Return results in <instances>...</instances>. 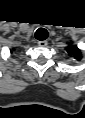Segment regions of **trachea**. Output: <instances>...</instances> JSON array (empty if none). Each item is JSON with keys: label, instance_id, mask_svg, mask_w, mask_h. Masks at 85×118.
Listing matches in <instances>:
<instances>
[{"label": "trachea", "instance_id": "trachea-1", "mask_svg": "<svg viewBox=\"0 0 85 118\" xmlns=\"http://www.w3.org/2000/svg\"><path fill=\"white\" fill-rule=\"evenodd\" d=\"M36 39L37 40H40V41H43L45 39H47L48 35H47V31L45 29H38L36 31Z\"/></svg>", "mask_w": 85, "mask_h": 118}]
</instances>
